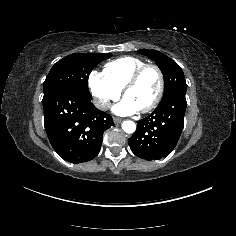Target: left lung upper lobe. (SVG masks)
I'll return each mask as SVG.
<instances>
[{"instance_id": "5c2ea615", "label": "left lung upper lobe", "mask_w": 236, "mask_h": 236, "mask_svg": "<svg viewBox=\"0 0 236 236\" xmlns=\"http://www.w3.org/2000/svg\"><path fill=\"white\" fill-rule=\"evenodd\" d=\"M137 52L153 59L161 69L165 84L162 99L170 96L174 92H186V82L183 71L172 59L156 50L141 49Z\"/></svg>"}]
</instances>
